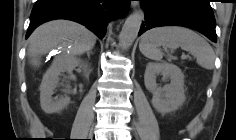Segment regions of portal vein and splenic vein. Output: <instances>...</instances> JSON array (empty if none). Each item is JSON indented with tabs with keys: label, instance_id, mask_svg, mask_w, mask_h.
Wrapping results in <instances>:
<instances>
[{
	"label": "portal vein and splenic vein",
	"instance_id": "18ae733b",
	"mask_svg": "<svg viewBox=\"0 0 236 140\" xmlns=\"http://www.w3.org/2000/svg\"><path fill=\"white\" fill-rule=\"evenodd\" d=\"M186 56L185 55H182V59H184Z\"/></svg>",
	"mask_w": 236,
	"mask_h": 140
}]
</instances>
